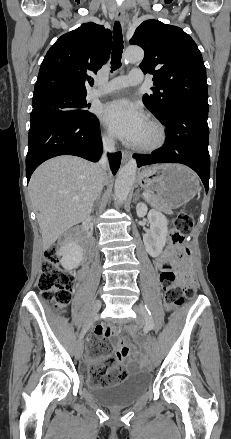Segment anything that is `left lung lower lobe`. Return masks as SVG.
I'll list each match as a JSON object with an SVG mask.
<instances>
[{"instance_id":"left-lung-lower-lobe-1","label":"left lung lower lobe","mask_w":231,"mask_h":439,"mask_svg":"<svg viewBox=\"0 0 231 439\" xmlns=\"http://www.w3.org/2000/svg\"><path fill=\"white\" fill-rule=\"evenodd\" d=\"M208 102L187 100L170 107L158 118L166 126V144L151 154H136L138 166L181 163L192 168L209 188Z\"/></svg>"}]
</instances>
